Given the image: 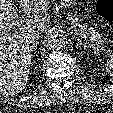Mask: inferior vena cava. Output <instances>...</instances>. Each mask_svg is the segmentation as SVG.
Masks as SVG:
<instances>
[{"mask_svg": "<svg viewBox=\"0 0 113 113\" xmlns=\"http://www.w3.org/2000/svg\"><path fill=\"white\" fill-rule=\"evenodd\" d=\"M47 27L46 26H41L39 28H37L35 31H34V36L37 38L39 37L41 34H43L44 32L47 31Z\"/></svg>", "mask_w": 113, "mask_h": 113, "instance_id": "1", "label": "inferior vena cava"}]
</instances>
